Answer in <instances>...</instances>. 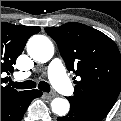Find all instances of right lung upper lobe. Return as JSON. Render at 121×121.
I'll return each instance as SVG.
<instances>
[{
    "mask_svg": "<svg viewBox=\"0 0 121 121\" xmlns=\"http://www.w3.org/2000/svg\"><path fill=\"white\" fill-rule=\"evenodd\" d=\"M37 26L14 25L1 22V74L13 71V64L22 53L30 36L38 33ZM7 78L1 77V103L18 93L10 86H4Z\"/></svg>",
    "mask_w": 121,
    "mask_h": 121,
    "instance_id": "cb5924a9",
    "label": "right lung upper lobe"
}]
</instances>
